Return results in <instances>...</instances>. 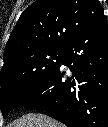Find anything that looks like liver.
<instances>
[{
  "label": "liver",
  "instance_id": "obj_1",
  "mask_svg": "<svg viewBox=\"0 0 108 127\" xmlns=\"http://www.w3.org/2000/svg\"><path fill=\"white\" fill-rule=\"evenodd\" d=\"M16 127H63L62 124L43 114H29L15 123Z\"/></svg>",
  "mask_w": 108,
  "mask_h": 127
}]
</instances>
